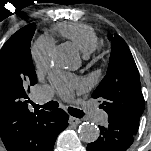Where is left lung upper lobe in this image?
I'll use <instances>...</instances> for the list:
<instances>
[{"label": "left lung upper lobe", "mask_w": 151, "mask_h": 151, "mask_svg": "<svg viewBox=\"0 0 151 151\" xmlns=\"http://www.w3.org/2000/svg\"><path fill=\"white\" fill-rule=\"evenodd\" d=\"M111 55L107 73L92 97L108 113V122L135 135L144 111L139 72L126 42L117 34L109 35Z\"/></svg>", "instance_id": "left-lung-upper-lobe-1"}]
</instances>
